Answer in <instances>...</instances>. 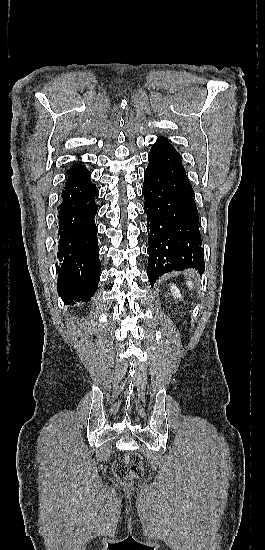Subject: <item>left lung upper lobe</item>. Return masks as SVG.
I'll use <instances>...</instances> for the list:
<instances>
[{
    "label": "left lung upper lobe",
    "instance_id": "1",
    "mask_svg": "<svg viewBox=\"0 0 265 550\" xmlns=\"http://www.w3.org/2000/svg\"><path fill=\"white\" fill-rule=\"evenodd\" d=\"M158 141H160V142H162V143L169 144V143L167 142V139L164 138V137H159V138H158ZM170 145H171V144H170Z\"/></svg>",
    "mask_w": 265,
    "mask_h": 550
}]
</instances>
